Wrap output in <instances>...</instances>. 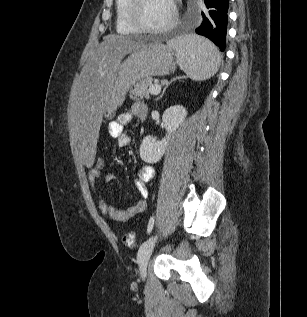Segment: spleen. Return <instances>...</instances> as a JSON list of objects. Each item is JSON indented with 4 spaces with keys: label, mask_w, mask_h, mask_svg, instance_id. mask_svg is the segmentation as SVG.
<instances>
[{
    "label": "spleen",
    "mask_w": 307,
    "mask_h": 317,
    "mask_svg": "<svg viewBox=\"0 0 307 317\" xmlns=\"http://www.w3.org/2000/svg\"><path fill=\"white\" fill-rule=\"evenodd\" d=\"M176 52L177 63L189 78L203 81L214 75L220 54L211 41L197 35H187L168 42Z\"/></svg>",
    "instance_id": "1"
}]
</instances>
